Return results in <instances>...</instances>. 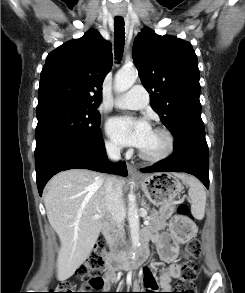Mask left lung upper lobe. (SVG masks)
Instances as JSON below:
<instances>
[{"label": "left lung upper lobe", "mask_w": 245, "mask_h": 293, "mask_svg": "<svg viewBox=\"0 0 245 293\" xmlns=\"http://www.w3.org/2000/svg\"><path fill=\"white\" fill-rule=\"evenodd\" d=\"M150 104L173 136L205 134L199 101L197 56L189 42L145 28L132 50Z\"/></svg>", "instance_id": "1"}]
</instances>
